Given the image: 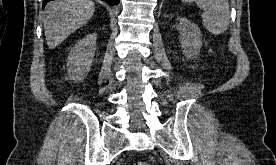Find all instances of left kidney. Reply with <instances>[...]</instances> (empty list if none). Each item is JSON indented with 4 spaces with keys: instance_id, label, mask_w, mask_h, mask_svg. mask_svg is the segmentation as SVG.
I'll use <instances>...</instances> for the list:
<instances>
[{
    "instance_id": "1",
    "label": "left kidney",
    "mask_w": 276,
    "mask_h": 165,
    "mask_svg": "<svg viewBox=\"0 0 276 165\" xmlns=\"http://www.w3.org/2000/svg\"><path fill=\"white\" fill-rule=\"evenodd\" d=\"M178 30L183 53L187 58L196 56L202 47L201 32L198 26L186 18H178Z\"/></svg>"
}]
</instances>
